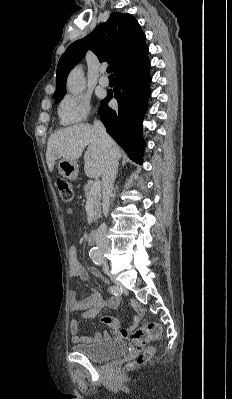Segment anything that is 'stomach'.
<instances>
[{"instance_id": "1", "label": "stomach", "mask_w": 232, "mask_h": 399, "mask_svg": "<svg viewBox=\"0 0 232 399\" xmlns=\"http://www.w3.org/2000/svg\"><path fill=\"white\" fill-rule=\"evenodd\" d=\"M57 170L66 180H77L78 164L70 160H60L57 164Z\"/></svg>"}]
</instances>
